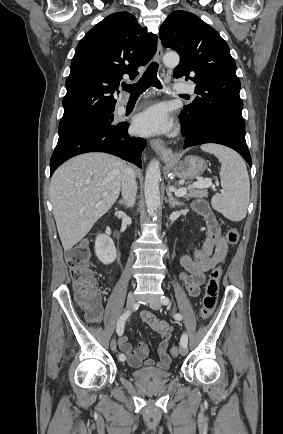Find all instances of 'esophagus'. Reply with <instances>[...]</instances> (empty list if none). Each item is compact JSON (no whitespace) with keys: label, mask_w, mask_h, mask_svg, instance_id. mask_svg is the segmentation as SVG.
Masks as SVG:
<instances>
[{"label":"esophagus","mask_w":283,"mask_h":434,"mask_svg":"<svg viewBox=\"0 0 283 434\" xmlns=\"http://www.w3.org/2000/svg\"><path fill=\"white\" fill-rule=\"evenodd\" d=\"M162 56H163V48H162L161 41L158 40L157 52H156L157 62H161ZM150 145L152 149L155 152H157L163 160L167 161L173 158V151L166 147L162 139H152L150 141Z\"/></svg>","instance_id":"obj_1"}]
</instances>
